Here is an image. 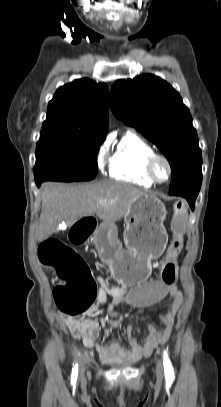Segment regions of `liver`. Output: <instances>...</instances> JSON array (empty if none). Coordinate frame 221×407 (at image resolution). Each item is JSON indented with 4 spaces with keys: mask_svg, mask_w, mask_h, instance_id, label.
I'll return each mask as SVG.
<instances>
[{
    "mask_svg": "<svg viewBox=\"0 0 221 407\" xmlns=\"http://www.w3.org/2000/svg\"><path fill=\"white\" fill-rule=\"evenodd\" d=\"M144 194L130 184L113 181L75 186L46 182L41 188L42 213L36 239H47L61 222L73 225L79 218L95 214L113 224L126 215L136 197ZM99 200L107 202L99 204Z\"/></svg>",
    "mask_w": 221,
    "mask_h": 407,
    "instance_id": "6515ba94",
    "label": "liver"
}]
</instances>
